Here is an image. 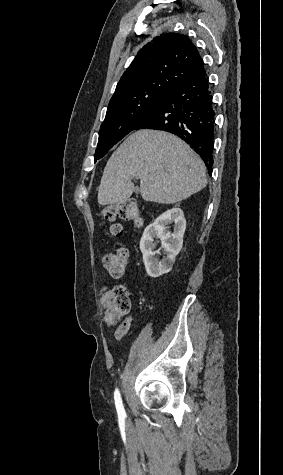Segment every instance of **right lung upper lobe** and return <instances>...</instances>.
<instances>
[{
    "instance_id": "1",
    "label": "right lung upper lobe",
    "mask_w": 283,
    "mask_h": 475,
    "mask_svg": "<svg viewBox=\"0 0 283 475\" xmlns=\"http://www.w3.org/2000/svg\"><path fill=\"white\" fill-rule=\"evenodd\" d=\"M206 75L197 48L182 34L155 37L138 52L123 73L110 103L153 92L171 91L177 85Z\"/></svg>"
}]
</instances>
